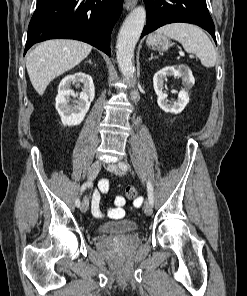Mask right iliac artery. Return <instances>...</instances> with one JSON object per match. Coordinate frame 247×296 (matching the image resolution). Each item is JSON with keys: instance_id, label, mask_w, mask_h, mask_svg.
Here are the masks:
<instances>
[{"instance_id": "right-iliac-artery-1", "label": "right iliac artery", "mask_w": 247, "mask_h": 296, "mask_svg": "<svg viewBox=\"0 0 247 296\" xmlns=\"http://www.w3.org/2000/svg\"><path fill=\"white\" fill-rule=\"evenodd\" d=\"M89 185H90V182H85V183L81 186L80 191H81V192L85 191L86 188H87ZM75 205H76L77 207H80V199H79V198L76 199V201H75Z\"/></svg>"}]
</instances>
